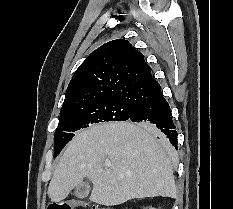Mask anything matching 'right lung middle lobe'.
Segmentation results:
<instances>
[{"label":"right lung middle lobe","instance_id":"right-lung-middle-lobe-1","mask_svg":"<svg viewBox=\"0 0 233 209\" xmlns=\"http://www.w3.org/2000/svg\"><path fill=\"white\" fill-rule=\"evenodd\" d=\"M138 106L124 100L105 99L87 103L60 114L58 128L54 134V156L61 152L75 136L74 132L77 130L87 128L93 123L128 120ZM141 125L151 128L148 124L141 123Z\"/></svg>","mask_w":233,"mask_h":209}]
</instances>
